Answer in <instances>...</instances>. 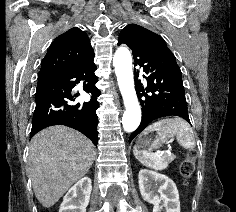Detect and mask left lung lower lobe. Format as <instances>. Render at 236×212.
Wrapping results in <instances>:
<instances>
[{"label":"left lung lower lobe","instance_id":"obj_1","mask_svg":"<svg viewBox=\"0 0 236 212\" xmlns=\"http://www.w3.org/2000/svg\"><path fill=\"white\" fill-rule=\"evenodd\" d=\"M128 45L135 66L145 73L147 86L136 80V93L142 106L139 127L130 135L129 142L152 121L165 116H179L190 122L182 81V73L174 54L165 41L137 32L122 31L118 45ZM139 71L135 69L137 79Z\"/></svg>","mask_w":236,"mask_h":212}]
</instances>
